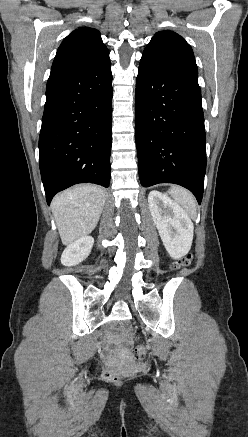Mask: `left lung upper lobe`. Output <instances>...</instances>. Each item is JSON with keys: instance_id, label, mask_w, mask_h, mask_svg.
<instances>
[{"instance_id": "left-lung-upper-lobe-1", "label": "left lung upper lobe", "mask_w": 248, "mask_h": 437, "mask_svg": "<svg viewBox=\"0 0 248 437\" xmlns=\"http://www.w3.org/2000/svg\"><path fill=\"white\" fill-rule=\"evenodd\" d=\"M140 67L198 83L193 50L173 31L157 32L143 51Z\"/></svg>"}]
</instances>
